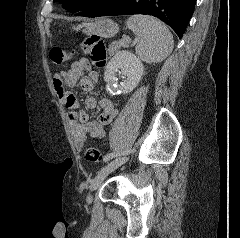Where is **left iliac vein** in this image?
I'll return each instance as SVG.
<instances>
[{
  "label": "left iliac vein",
  "instance_id": "obj_1",
  "mask_svg": "<svg viewBox=\"0 0 240 238\" xmlns=\"http://www.w3.org/2000/svg\"><path fill=\"white\" fill-rule=\"evenodd\" d=\"M128 160L127 156H123V157H119L115 160H113L110 164H108L107 166L103 167L97 174V176L94 178V180L92 181L91 185H90V191H94L96 190L101 183L103 182V180L108 176L109 173H111L112 171H114L116 168H118L119 166H121L122 164H124L126 161ZM88 202L92 201V197L89 196L87 198Z\"/></svg>",
  "mask_w": 240,
  "mask_h": 238
}]
</instances>
